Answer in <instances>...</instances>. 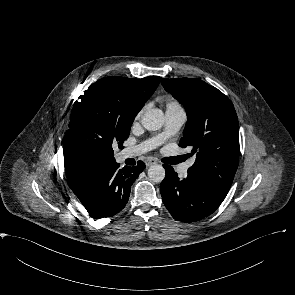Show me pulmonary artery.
I'll list each match as a JSON object with an SVG mask.
<instances>
[{"label":"pulmonary artery","mask_w":295,"mask_h":295,"mask_svg":"<svg viewBox=\"0 0 295 295\" xmlns=\"http://www.w3.org/2000/svg\"><path fill=\"white\" fill-rule=\"evenodd\" d=\"M165 117L166 122L164 133L135 147L124 150L122 157L129 158L133 156H138L161 144V142L164 141L167 137L174 135L180 129V127L185 122L186 114L184 109L181 106H178L167 108ZM189 166L190 164H182L181 166H179L178 172L180 173V175L186 176Z\"/></svg>","instance_id":"e3ab8cb5"}]
</instances>
